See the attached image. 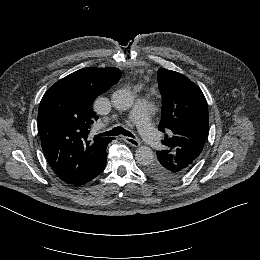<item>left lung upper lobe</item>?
Returning a JSON list of instances; mask_svg holds the SVG:
<instances>
[{
    "label": "left lung upper lobe",
    "instance_id": "5c2ea615",
    "mask_svg": "<svg viewBox=\"0 0 260 260\" xmlns=\"http://www.w3.org/2000/svg\"><path fill=\"white\" fill-rule=\"evenodd\" d=\"M158 83L162 94L159 130L169 131L157 152L158 161L146 168L151 177L177 181L196 164L208 134V106L202 91L182 74L160 68Z\"/></svg>",
    "mask_w": 260,
    "mask_h": 260
}]
</instances>
